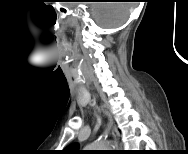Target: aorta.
Returning a JSON list of instances; mask_svg holds the SVG:
<instances>
[{
	"instance_id": "obj_1",
	"label": "aorta",
	"mask_w": 188,
	"mask_h": 154,
	"mask_svg": "<svg viewBox=\"0 0 188 154\" xmlns=\"http://www.w3.org/2000/svg\"><path fill=\"white\" fill-rule=\"evenodd\" d=\"M112 147L113 146L110 141L98 139L89 144L86 148L89 150H110Z\"/></svg>"
}]
</instances>
